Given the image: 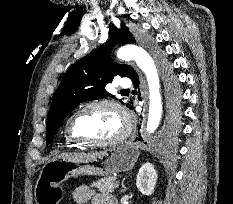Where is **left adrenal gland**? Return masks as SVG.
I'll use <instances>...</instances> for the list:
<instances>
[{
  "mask_svg": "<svg viewBox=\"0 0 233 204\" xmlns=\"http://www.w3.org/2000/svg\"><path fill=\"white\" fill-rule=\"evenodd\" d=\"M122 188H123V189L121 190V193L124 192V191H126V187H125V185H124V180L122 181Z\"/></svg>",
  "mask_w": 233,
  "mask_h": 204,
  "instance_id": "obj_1",
  "label": "left adrenal gland"
}]
</instances>
